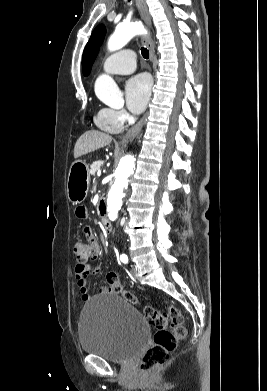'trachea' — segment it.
Segmentation results:
<instances>
[{
    "label": "trachea",
    "mask_w": 267,
    "mask_h": 391,
    "mask_svg": "<svg viewBox=\"0 0 267 391\" xmlns=\"http://www.w3.org/2000/svg\"><path fill=\"white\" fill-rule=\"evenodd\" d=\"M141 53H142V56H143L145 59H148V58H149V51H148L145 47H142V48H141Z\"/></svg>",
    "instance_id": "1"
}]
</instances>
